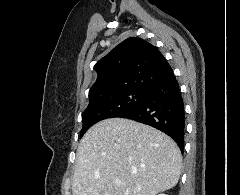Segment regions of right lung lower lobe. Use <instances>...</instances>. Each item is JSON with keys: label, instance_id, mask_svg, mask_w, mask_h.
I'll use <instances>...</instances> for the list:
<instances>
[{"label": "right lung lower lobe", "instance_id": "obj_1", "mask_svg": "<svg viewBox=\"0 0 240 195\" xmlns=\"http://www.w3.org/2000/svg\"><path fill=\"white\" fill-rule=\"evenodd\" d=\"M119 117L148 124L166 133L178 144L183 153L184 102L174 75L151 87L138 106Z\"/></svg>", "mask_w": 240, "mask_h": 195}]
</instances>
